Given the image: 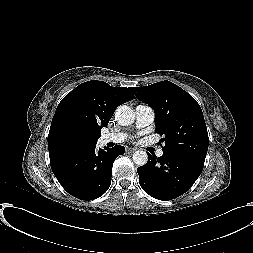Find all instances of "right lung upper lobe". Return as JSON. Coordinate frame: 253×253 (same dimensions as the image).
Returning <instances> with one entry per match:
<instances>
[{
    "label": "right lung upper lobe",
    "instance_id": "right-lung-upper-lobe-1",
    "mask_svg": "<svg viewBox=\"0 0 253 253\" xmlns=\"http://www.w3.org/2000/svg\"><path fill=\"white\" fill-rule=\"evenodd\" d=\"M135 99L130 88L112 87L103 81L84 82L59 103L52 119L48 148L50 160L89 146L78 145L67 134L79 128L93 137L100 136L116 108Z\"/></svg>",
    "mask_w": 253,
    "mask_h": 253
}]
</instances>
